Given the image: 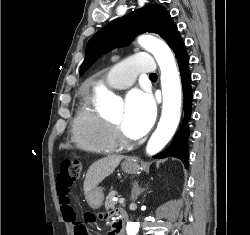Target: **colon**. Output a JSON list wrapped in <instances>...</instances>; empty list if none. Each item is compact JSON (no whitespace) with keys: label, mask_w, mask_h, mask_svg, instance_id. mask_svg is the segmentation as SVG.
<instances>
[{"label":"colon","mask_w":250,"mask_h":235,"mask_svg":"<svg viewBox=\"0 0 250 235\" xmlns=\"http://www.w3.org/2000/svg\"><path fill=\"white\" fill-rule=\"evenodd\" d=\"M82 163L78 159L63 160L60 164V171L58 174V187L70 192L73 183L81 176ZM91 220H96V216L92 215ZM75 235H88L86 225L83 222L74 223Z\"/></svg>","instance_id":"5ec220e1"}]
</instances>
